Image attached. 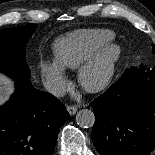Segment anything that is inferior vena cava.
Returning a JSON list of instances; mask_svg holds the SVG:
<instances>
[{
  "instance_id": "602c4592",
  "label": "inferior vena cava",
  "mask_w": 155,
  "mask_h": 155,
  "mask_svg": "<svg viewBox=\"0 0 155 155\" xmlns=\"http://www.w3.org/2000/svg\"><path fill=\"white\" fill-rule=\"evenodd\" d=\"M43 86L47 92L53 94L56 97H62L65 95V88L58 81L46 80L43 82Z\"/></svg>"
}]
</instances>
